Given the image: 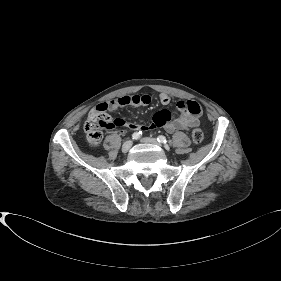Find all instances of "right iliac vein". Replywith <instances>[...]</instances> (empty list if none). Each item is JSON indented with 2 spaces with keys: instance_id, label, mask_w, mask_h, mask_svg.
Instances as JSON below:
<instances>
[{
  "instance_id": "right-iliac-vein-1",
  "label": "right iliac vein",
  "mask_w": 281,
  "mask_h": 281,
  "mask_svg": "<svg viewBox=\"0 0 281 281\" xmlns=\"http://www.w3.org/2000/svg\"><path fill=\"white\" fill-rule=\"evenodd\" d=\"M133 142L131 140L126 141L122 146V152L127 153L132 147Z\"/></svg>"
}]
</instances>
